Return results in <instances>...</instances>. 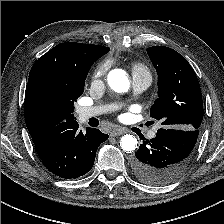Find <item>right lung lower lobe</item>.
<instances>
[{
	"mask_svg": "<svg viewBox=\"0 0 224 224\" xmlns=\"http://www.w3.org/2000/svg\"><path fill=\"white\" fill-rule=\"evenodd\" d=\"M108 135L95 128L86 133L78 130L76 121L62 123L39 136L34 142L45 167L64 178H78L93 167L99 145Z\"/></svg>",
	"mask_w": 224,
	"mask_h": 224,
	"instance_id": "1",
	"label": "right lung lower lobe"
}]
</instances>
